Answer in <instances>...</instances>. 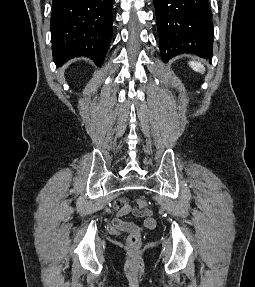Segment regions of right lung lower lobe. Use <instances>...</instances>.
<instances>
[{"mask_svg":"<svg viewBox=\"0 0 255 287\" xmlns=\"http://www.w3.org/2000/svg\"><path fill=\"white\" fill-rule=\"evenodd\" d=\"M51 42L57 66L85 56L103 63L112 37L113 0H52Z\"/></svg>","mask_w":255,"mask_h":287,"instance_id":"right-lung-lower-lobe-1","label":"right lung lower lobe"}]
</instances>
